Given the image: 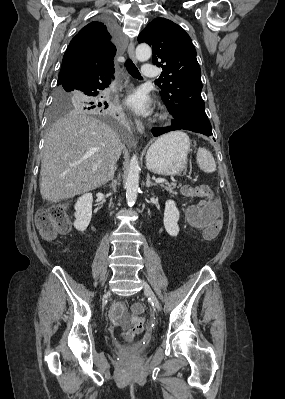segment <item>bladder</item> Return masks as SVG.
I'll list each match as a JSON object with an SVG mask.
<instances>
[{
  "label": "bladder",
  "mask_w": 285,
  "mask_h": 399,
  "mask_svg": "<svg viewBox=\"0 0 285 399\" xmlns=\"http://www.w3.org/2000/svg\"><path fill=\"white\" fill-rule=\"evenodd\" d=\"M139 350H143V346H141V347L139 348Z\"/></svg>",
  "instance_id": "31cf9c89"
}]
</instances>
